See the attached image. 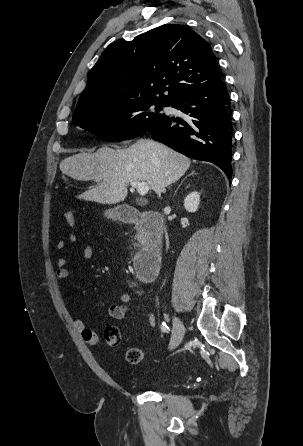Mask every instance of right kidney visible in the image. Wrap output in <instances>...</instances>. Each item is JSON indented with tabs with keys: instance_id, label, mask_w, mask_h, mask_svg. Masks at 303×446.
<instances>
[{
	"instance_id": "obj_1",
	"label": "right kidney",
	"mask_w": 303,
	"mask_h": 446,
	"mask_svg": "<svg viewBox=\"0 0 303 446\" xmlns=\"http://www.w3.org/2000/svg\"><path fill=\"white\" fill-rule=\"evenodd\" d=\"M200 202V195L198 192H191L184 199V208L188 212H196Z\"/></svg>"
}]
</instances>
